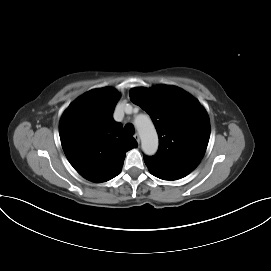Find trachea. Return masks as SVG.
<instances>
[{"instance_id":"3493384b","label":"trachea","mask_w":271,"mask_h":271,"mask_svg":"<svg viewBox=\"0 0 271 271\" xmlns=\"http://www.w3.org/2000/svg\"><path fill=\"white\" fill-rule=\"evenodd\" d=\"M124 131L128 135H133L134 134V126L130 123L126 124L124 127Z\"/></svg>"}]
</instances>
